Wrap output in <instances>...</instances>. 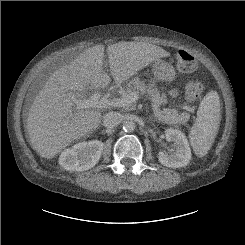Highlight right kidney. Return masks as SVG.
<instances>
[{
  "mask_svg": "<svg viewBox=\"0 0 245 245\" xmlns=\"http://www.w3.org/2000/svg\"><path fill=\"white\" fill-rule=\"evenodd\" d=\"M104 144L98 140L80 142L64 150L59 164L67 171H86L94 167L103 152Z\"/></svg>",
  "mask_w": 245,
  "mask_h": 245,
  "instance_id": "ca27d5eb",
  "label": "right kidney"
}]
</instances>
